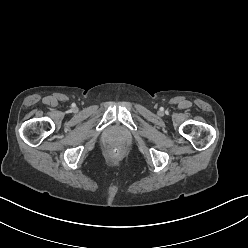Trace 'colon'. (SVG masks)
<instances>
[{"mask_svg": "<svg viewBox=\"0 0 248 248\" xmlns=\"http://www.w3.org/2000/svg\"><path fill=\"white\" fill-rule=\"evenodd\" d=\"M121 153H122V150H121L119 147L113 146V147H111L110 150H109V154H110V156H112V157H118V156L121 155Z\"/></svg>", "mask_w": 248, "mask_h": 248, "instance_id": "1", "label": "colon"}]
</instances>
